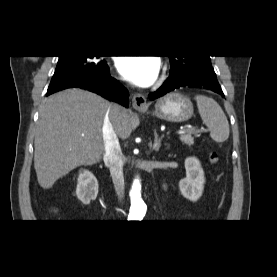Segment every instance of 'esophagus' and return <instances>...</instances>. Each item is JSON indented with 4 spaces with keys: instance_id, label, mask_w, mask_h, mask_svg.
Returning a JSON list of instances; mask_svg holds the SVG:
<instances>
[{
    "instance_id": "1",
    "label": "esophagus",
    "mask_w": 277,
    "mask_h": 277,
    "mask_svg": "<svg viewBox=\"0 0 277 277\" xmlns=\"http://www.w3.org/2000/svg\"><path fill=\"white\" fill-rule=\"evenodd\" d=\"M132 106L134 109L142 111L147 109V101L144 95L135 93L132 96Z\"/></svg>"
}]
</instances>
